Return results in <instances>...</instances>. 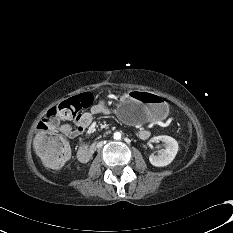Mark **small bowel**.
Returning a JSON list of instances; mask_svg holds the SVG:
<instances>
[{"label": "small bowel", "instance_id": "1", "mask_svg": "<svg viewBox=\"0 0 233 233\" xmlns=\"http://www.w3.org/2000/svg\"><path fill=\"white\" fill-rule=\"evenodd\" d=\"M108 114H110V110L106 106V101L100 100L89 111L81 113L74 118L56 116L49 118V127L52 132H58L70 138H76L83 134L95 116ZM65 120H72L73 123H66ZM137 135L140 139H147L150 136V131L142 127L138 130Z\"/></svg>", "mask_w": 233, "mask_h": 233}]
</instances>
